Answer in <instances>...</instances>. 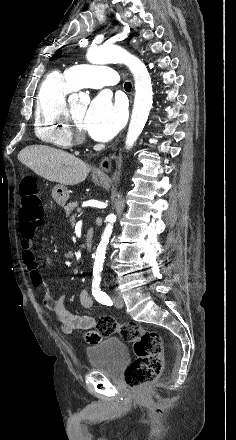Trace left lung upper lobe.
<instances>
[{
	"instance_id": "obj_1",
	"label": "left lung upper lobe",
	"mask_w": 236,
	"mask_h": 440,
	"mask_svg": "<svg viewBox=\"0 0 236 440\" xmlns=\"http://www.w3.org/2000/svg\"><path fill=\"white\" fill-rule=\"evenodd\" d=\"M62 54V50L59 49L52 57L51 60H55L56 58H59Z\"/></svg>"
}]
</instances>
